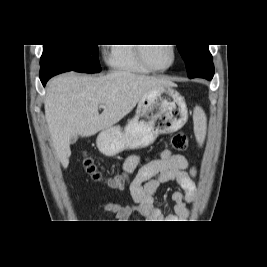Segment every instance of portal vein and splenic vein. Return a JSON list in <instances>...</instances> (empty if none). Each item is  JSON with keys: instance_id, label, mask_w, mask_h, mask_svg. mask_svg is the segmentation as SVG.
<instances>
[{"instance_id": "1", "label": "portal vein and splenic vein", "mask_w": 267, "mask_h": 267, "mask_svg": "<svg viewBox=\"0 0 267 267\" xmlns=\"http://www.w3.org/2000/svg\"><path fill=\"white\" fill-rule=\"evenodd\" d=\"M100 107H104V105L103 104H100Z\"/></svg>"}]
</instances>
